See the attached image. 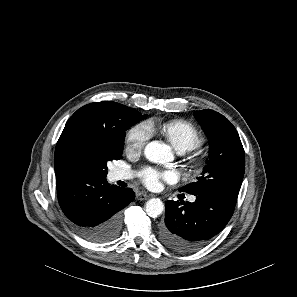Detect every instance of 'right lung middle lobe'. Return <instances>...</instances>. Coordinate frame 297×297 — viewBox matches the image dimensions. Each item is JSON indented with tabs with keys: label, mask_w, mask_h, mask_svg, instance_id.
I'll return each mask as SVG.
<instances>
[{
	"label": "right lung middle lobe",
	"mask_w": 297,
	"mask_h": 297,
	"mask_svg": "<svg viewBox=\"0 0 297 297\" xmlns=\"http://www.w3.org/2000/svg\"><path fill=\"white\" fill-rule=\"evenodd\" d=\"M121 115L124 129L117 141L108 143L84 141L77 146L75 150L77 172L105 178L107 175V163L121 159L125 131L147 116L127 106H123Z\"/></svg>",
	"instance_id": "right-lung-middle-lobe-1"
}]
</instances>
